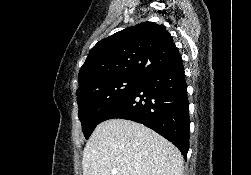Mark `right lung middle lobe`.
<instances>
[{
    "mask_svg": "<svg viewBox=\"0 0 251 175\" xmlns=\"http://www.w3.org/2000/svg\"><path fill=\"white\" fill-rule=\"evenodd\" d=\"M140 80L136 77L122 76L106 83L87 85L77 90L79 119L86 139L101 123L103 114L123 99Z\"/></svg>",
    "mask_w": 251,
    "mask_h": 175,
    "instance_id": "obj_1",
    "label": "right lung middle lobe"
}]
</instances>
